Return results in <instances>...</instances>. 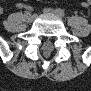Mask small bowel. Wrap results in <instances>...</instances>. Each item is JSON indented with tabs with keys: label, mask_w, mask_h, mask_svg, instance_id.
I'll return each instance as SVG.
<instances>
[{
	"label": "small bowel",
	"mask_w": 91,
	"mask_h": 91,
	"mask_svg": "<svg viewBox=\"0 0 91 91\" xmlns=\"http://www.w3.org/2000/svg\"><path fill=\"white\" fill-rule=\"evenodd\" d=\"M83 6H84V7H87V6H88V4H87V3H84V4H83Z\"/></svg>",
	"instance_id": "c3829d8e"
}]
</instances>
